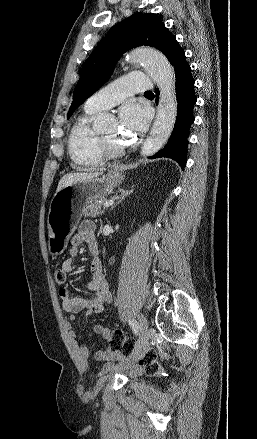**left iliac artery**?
Returning <instances> with one entry per match:
<instances>
[{
	"label": "left iliac artery",
	"mask_w": 257,
	"mask_h": 439,
	"mask_svg": "<svg viewBox=\"0 0 257 439\" xmlns=\"http://www.w3.org/2000/svg\"><path fill=\"white\" fill-rule=\"evenodd\" d=\"M129 324H130V326H131L133 332H134L135 334H137V333H138L137 322H136L134 319H129Z\"/></svg>",
	"instance_id": "44dca946"
}]
</instances>
